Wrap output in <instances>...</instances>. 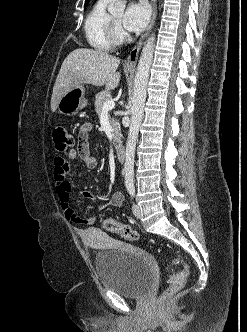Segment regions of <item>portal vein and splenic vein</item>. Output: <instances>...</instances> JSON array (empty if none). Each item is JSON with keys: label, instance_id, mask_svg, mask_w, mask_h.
<instances>
[{"label": "portal vein and splenic vein", "instance_id": "portal-vein-and-splenic-vein-1", "mask_svg": "<svg viewBox=\"0 0 247 332\" xmlns=\"http://www.w3.org/2000/svg\"><path fill=\"white\" fill-rule=\"evenodd\" d=\"M115 107V102L113 100H108L103 105V110H111Z\"/></svg>", "mask_w": 247, "mask_h": 332}]
</instances>
